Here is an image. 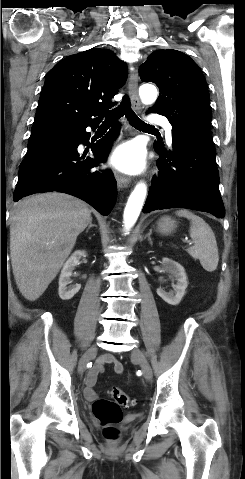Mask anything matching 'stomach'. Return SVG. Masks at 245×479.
<instances>
[{"mask_svg":"<svg viewBox=\"0 0 245 479\" xmlns=\"http://www.w3.org/2000/svg\"><path fill=\"white\" fill-rule=\"evenodd\" d=\"M175 228L176 222L170 217H162L158 222V232L161 234H170Z\"/></svg>","mask_w":245,"mask_h":479,"instance_id":"stomach-1","label":"stomach"}]
</instances>
